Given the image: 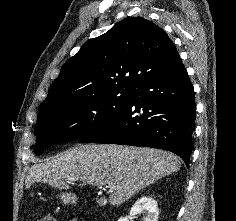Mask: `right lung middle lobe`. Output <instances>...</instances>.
<instances>
[{
    "label": "right lung middle lobe",
    "mask_w": 236,
    "mask_h": 221,
    "mask_svg": "<svg viewBox=\"0 0 236 221\" xmlns=\"http://www.w3.org/2000/svg\"><path fill=\"white\" fill-rule=\"evenodd\" d=\"M130 96L131 90L108 91L41 108L35 126L36 153L41 155L54 144L79 140L98 129Z\"/></svg>",
    "instance_id": "dd1d6c3e"
}]
</instances>
